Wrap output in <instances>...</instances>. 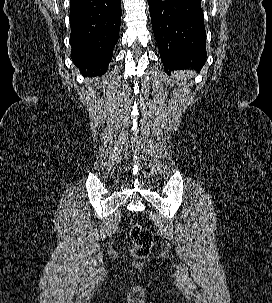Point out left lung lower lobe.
<instances>
[{"label": "left lung lower lobe", "instance_id": "1", "mask_svg": "<svg viewBox=\"0 0 272 303\" xmlns=\"http://www.w3.org/2000/svg\"><path fill=\"white\" fill-rule=\"evenodd\" d=\"M165 71L200 68L206 61L201 0H148Z\"/></svg>", "mask_w": 272, "mask_h": 303}]
</instances>
